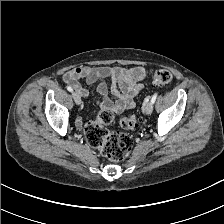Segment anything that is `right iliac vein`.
<instances>
[{
	"mask_svg": "<svg viewBox=\"0 0 224 224\" xmlns=\"http://www.w3.org/2000/svg\"><path fill=\"white\" fill-rule=\"evenodd\" d=\"M72 96H73V99H74L75 103H76L77 105H81L82 100H81L80 95H79L78 93L74 92V93L72 94Z\"/></svg>",
	"mask_w": 224,
	"mask_h": 224,
	"instance_id": "1",
	"label": "right iliac vein"
}]
</instances>
